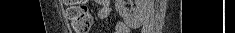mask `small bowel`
Listing matches in <instances>:
<instances>
[{
    "instance_id": "c3829d8e",
    "label": "small bowel",
    "mask_w": 235,
    "mask_h": 33,
    "mask_svg": "<svg viewBox=\"0 0 235 33\" xmlns=\"http://www.w3.org/2000/svg\"><path fill=\"white\" fill-rule=\"evenodd\" d=\"M99 9L97 15L100 19H106L110 16L111 8L108 0H99ZM114 33H130L128 25L122 21H118L115 25Z\"/></svg>"
}]
</instances>
